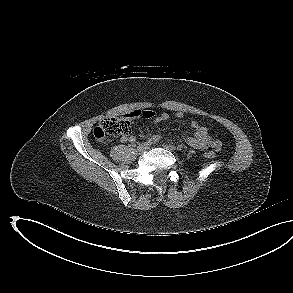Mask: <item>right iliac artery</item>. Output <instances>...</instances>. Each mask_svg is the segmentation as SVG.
Listing matches in <instances>:
<instances>
[{
	"mask_svg": "<svg viewBox=\"0 0 293 293\" xmlns=\"http://www.w3.org/2000/svg\"><path fill=\"white\" fill-rule=\"evenodd\" d=\"M160 138H161L160 135H154L148 140V143L150 144L156 143L160 140Z\"/></svg>",
	"mask_w": 293,
	"mask_h": 293,
	"instance_id": "1",
	"label": "right iliac artery"
}]
</instances>
